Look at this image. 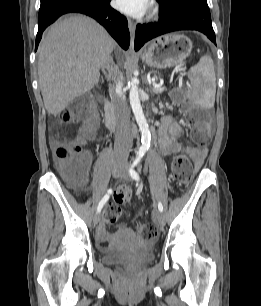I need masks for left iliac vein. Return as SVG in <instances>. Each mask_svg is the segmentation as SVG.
Returning a JSON list of instances; mask_svg holds the SVG:
<instances>
[{
    "instance_id": "4c4485c4",
    "label": "left iliac vein",
    "mask_w": 261,
    "mask_h": 306,
    "mask_svg": "<svg viewBox=\"0 0 261 306\" xmlns=\"http://www.w3.org/2000/svg\"><path fill=\"white\" fill-rule=\"evenodd\" d=\"M118 177L122 180H125V181H128L130 178H129V174H128V168H127V164L126 163H123L120 167V171H119V174H118ZM155 222L160 225V226H163L164 225V215L162 212H158L156 215H155Z\"/></svg>"
}]
</instances>
